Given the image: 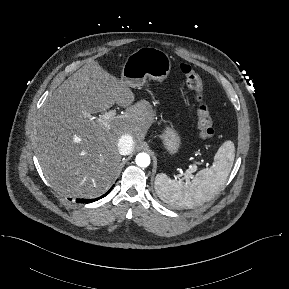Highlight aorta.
Segmentation results:
<instances>
[{
	"instance_id": "762f6f07",
	"label": "aorta",
	"mask_w": 289,
	"mask_h": 289,
	"mask_svg": "<svg viewBox=\"0 0 289 289\" xmlns=\"http://www.w3.org/2000/svg\"><path fill=\"white\" fill-rule=\"evenodd\" d=\"M135 161L139 167L145 168L150 164V156L147 153H139Z\"/></svg>"
}]
</instances>
